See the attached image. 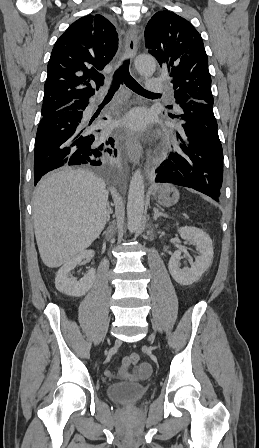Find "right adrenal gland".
Returning a JSON list of instances; mask_svg holds the SVG:
<instances>
[{
    "instance_id": "2a0ac1e0",
    "label": "right adrenal gland",
    "mask_w": 259,
    "mask_h": 448,
    "mask_svg": "<svg viewBox=\"0 0 259 448\" xmlns=\"http://www.w3.org/2000/svg\"><path fill=\"white\" fill-rule=\"evenodd\" d=\"M107 214H108V216H107V222H109V220H110V214H113V212H112V210H111V208H110V206H109V202H107Z\"/></svg>"
}]
</instances>
